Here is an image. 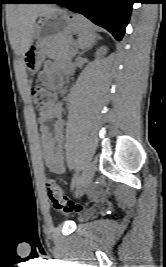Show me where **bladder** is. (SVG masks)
<instances>
[{
    "label": "bladder",
    "mask_w": 166,
    "mask_h": 267,
    "mask_svg": "<svg viewBox=\"0 0 166 267\" xmlns=\"http://www.w3.org/2000/svg\"><path fill=\"white\" fill-rule=\"evenodd\" d=\"M89 214H84L80 219L81 220H86V219H88L89 218Z\"/></svg>",
    "instance_id": "31cf9c89"
}]
</instances>
